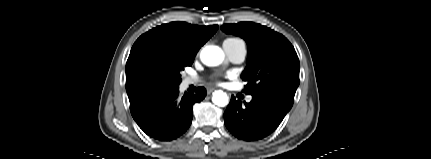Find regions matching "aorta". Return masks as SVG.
Returning <instances> with one entry per match:
<instances>
[{
	"instance_id": "aorta-1",
	"label": "aorta",
	"mask_w": 431,
	"mask_h": 159,
	"mask_svg": "<svg viewBox=\"0 0 431 159\" xmlns=\"http://www.w3.org/2000/svg\"><path fill=\"white\" fill-rule=\"evenodd\" d=\"M201 61L207 66H217L224 59V53L218 46H206L200 54ZM228 96L223 91H216L213 94L212 101L215 105L224 107L228 104Z\"/></svg>"
}]
</instances>
